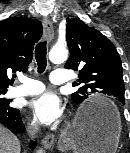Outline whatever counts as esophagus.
Masks as SVG:
<instances>
[{
  "label": "esophagus",
  "mask_w": 130,
  "mask_h": 153,
  "mask_svg": "<svg viewBox=\"0 0 130 153\" xmlns=\"http://www.w3.org/2000/svg\"><path fill=\"white\" fill-rule=\"evenodd\" d=\"M43 28H44V34L48 41H52L54 37V28L52 22L48 18L43 19ZM55 136L54 134H48L46 135L43 140L42 144L45 149H50L52 145L54 144Z\"/></svg>",
  "instance_id": "1"
}]
</instances>
